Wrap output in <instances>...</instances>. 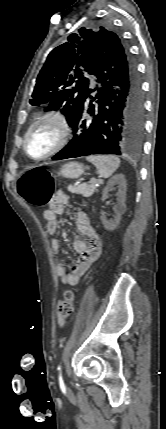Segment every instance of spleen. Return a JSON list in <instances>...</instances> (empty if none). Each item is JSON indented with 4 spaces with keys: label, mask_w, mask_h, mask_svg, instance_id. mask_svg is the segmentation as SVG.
I'll use <instances>...</instances> for the list:
<instances>
[{
    "label": "spleen",
    "mask_w": 166,
    "mask_h": 429,
    "mask_svg": "<svg viewBox=\"0 0 166 429\" xmlns=\"http://www.w3.org/2000/svg\"><path fill=\"white\" fill-rule=\"evenodd\" d=\"M87 161L94 164L101 177H110L119 167L120 159L113 155H91Z\"/></svg>",
    "instance_id": "spleen-1"
}]
</instances>
